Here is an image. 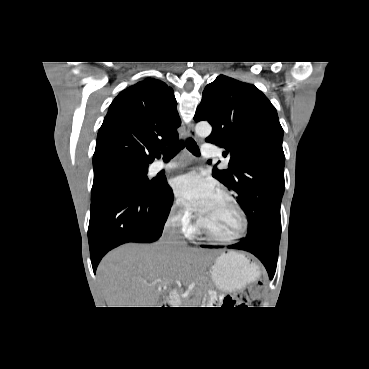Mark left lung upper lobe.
<instances>
[{"mask_svg": "<svg viewBox=\"0 0 369 369\" xmlns=\"http://www.w3.org/2000/svg\"><path fill=\"white\" fill-rule=\"evenodd\" d=\"M194 120H207L206 141L226 150L229 169L212 175L236 194L248 218L246 238L280 236L285 156L275 107L254 85L219 75L205 87Z\"/></svg>", "mask_w": 369, "mask_h": 369, "instance_id": "left-lung-upper-lobe-1", "label": "left lung upper lobe"}]
</instances>
